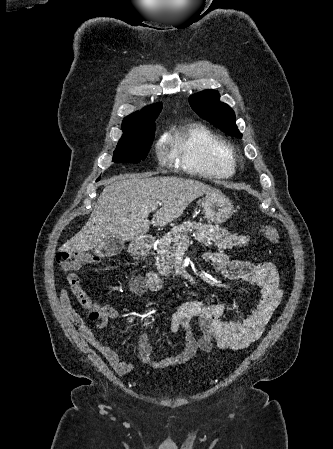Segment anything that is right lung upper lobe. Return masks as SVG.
Instances as JSON below:
<instances>
[{
  "label": "right lung upper lobe",
  "mask_w": 333,
  "mask_h": 449,
  "mask_svg": "<svg viewBox=\"0 0 333 449\" xmlns=\"http://www.w3.org/2000/svg\"><path fill=\"white\" fill-rule=\"evenodd\" d=\"M162 109V104L157 103L143 108L127 116L122 123L123 135L120 140H129L142 137L141 131L145 123L152 118H156Z\"/></svg>",
  "instance_id": "cb5924a9"
}]
</instances>
